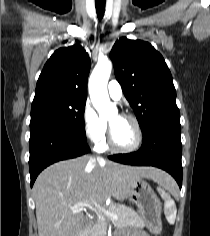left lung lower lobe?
I'll use <instances>...</instances> for the list:
<instances>
[{"label":"left lung lower lobe","instance_id":"0a47b994","mask_svg":"<svg viewBox=\"0 0 210 236\" xmlns=\"http://www.w3.org/2000/svg\"><path fill=\"white\" fill-rule=\"evenodd\" d=\"M180 120H161L143 132L141 148L134 153L109 156L128 165L155 166L170 173L182 186V144Z\"/></svg>","mask_w":210,"mask_h":236}]
</instances>
